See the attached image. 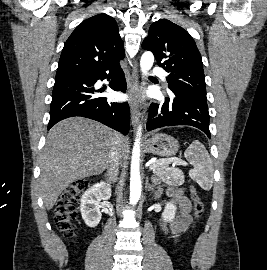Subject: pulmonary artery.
<instances>
[{
  "label": "pulmonary artery",
  "mask_w": 267,
  "mask_h": 270,
  "mask_svg": "<svg viewBox=\"0 0 267 270\" xmlns=\"http://www.w3.org/2000/svg\"><path fill=\"white\" fill-rule=\"evenodd\" d=\"M153 72H154L155 74H157V75H160L163 79L166 78L165 72H164L162 69H160V68H155V69L153 70Z\"/></svg>",
  "instance_id": "1"
}]
</instances>
